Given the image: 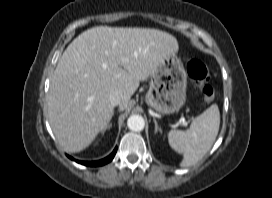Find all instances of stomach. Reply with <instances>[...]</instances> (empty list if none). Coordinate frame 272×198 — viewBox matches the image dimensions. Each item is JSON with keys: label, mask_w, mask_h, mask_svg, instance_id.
<instances>
[{"label": "stomach", "mask_w": 272, "mask_h": 198, "mask_svg": "<svg viewBox=\"0 0 272 198\" xmlns=\"http://www.w3.org/2000/svg\"><path fill=\"white\" fill-rule=\"evenodd\" d=\"M187 73L174 54L166 56L151 74L146 103L162 114H172L186 101Z\"/></svg>", "instance_id": "0dacf381"}]
</instances>
